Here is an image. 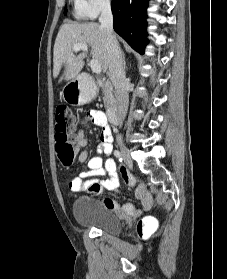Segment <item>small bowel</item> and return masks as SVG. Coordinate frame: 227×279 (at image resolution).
Here are the masks:
<instances>
[{
  "label": "small bowel",
  "mask_w": 227,
  "mask_h": 279,
  "mask_svg": "<svg viewBox=\"0 0 227 279\" xmlns=\"http://www.w3.org/2000/svg\"><path fill=\"white\" fill-rule=\"evenodd\" d=\"M90 122L102 129L100 133V144L97 147L96 155L92 157L89 156L86 150L79 152V162L86 163L87 167L78 175L69 179L68 188L71 192L92 191L91 186L97 185L113 193H118L117 189L120 180L117 175V166L114 159L110 157L113 152V136L111 128L108 126L107 118L102 111L98 109H90L87 111L76 133V145L79 148L87 145L88 141L84 133V127ZM123 182L129 187L135 185L134 178L130 175L125 174ZM135 194L140 201V207L120 205L112 198H105L102 200V203L111 212L121 215H137L143 211L150 210L153 201L146 185H138Z\"/></svg>",
  "instance_id": "small-bowel-1"
}]
</instances>
